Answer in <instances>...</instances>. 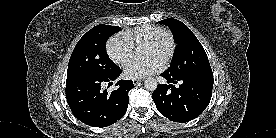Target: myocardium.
Listing matches in <instances>:
<instances>
[{"label":"myocardium","mask_w":276,"mask_h":138,"mask_svg":"<svg viewBox=\"0 0 276 138\" xmlns=\"http://www.w3.org/2000/svg\"><path fill=\"white\" fill-rule=\"evenodd\" d=\"M163 40H167L169 42V50L164 59L162 60V64L168 65L176 51V40L174 34L171 31L162 30L161 32L156 34L152 39L146 42L144 45L155 47L161 44Z\"/></svg>","instance_id":"myocardium-1"}]
</instances>
